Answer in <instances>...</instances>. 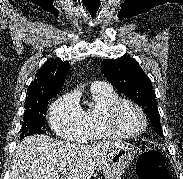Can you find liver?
<instances>
[{"mask_svg":"<svg viewBox=\"0 0 183 179\" xmlns=\"http://www.w3.org/2000/svg\"><path fill=\"white\" fill-rule=\"evenodd\" d=\"M114 142L82 145L41 134L24 138L16 147L9 179H90Z\"/></svg>","mask_w":183,"mask_h":179,"instance_id":"obj_1","label":"liver"}]
</instances>
